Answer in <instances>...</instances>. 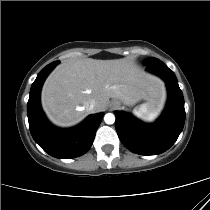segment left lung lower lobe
<instances>
[{
	"label": "left lung lower lobe",
	"instance_id": "left-lung-lower-lobe-1",
	"mask_svg": "<svg viewBox=\"0 0 210 210\" xmlns=\"http://www.w3.org/2000/svg\"><path fill=\"white\" fill-rule=\"evenodd\" d=\"M146 70L159 75L167 84L168 102L162 116L145 124L133 116L116 111V131L130 151L140 155H157L168 150L177 140L185 122L184 98L177 78L165 63L157 60Z\"/></svg>",
	"mask_w": 210,
	"mask_h": 210
}]
</instances>
